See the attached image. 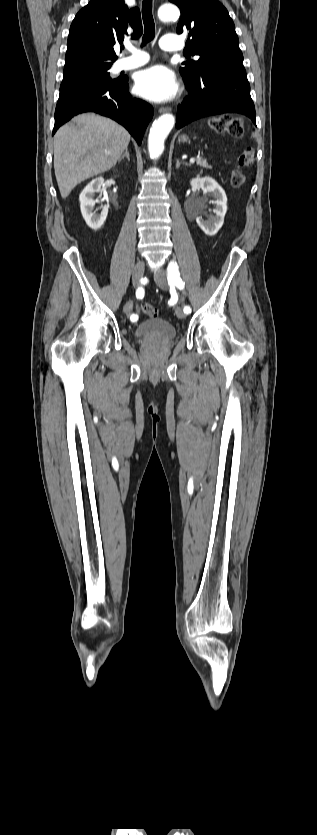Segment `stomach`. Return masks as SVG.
<instances>
[{"instance_id":"0dacf381","label":"stomach","mask_w":317,"mask_h":835,"mask_svg":"<svg viewBox=\"0 0 317 835\" xmlns=\"http://www.w3.org/2000/svg\"><path fill=\"white\" fill-rule=\"evenodd\" d=\"M178 141L179 142H187V141H189V138H188L187 135L182 134V135L179 136Z\"/></svg>"}]
</instances>
